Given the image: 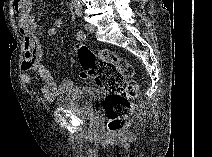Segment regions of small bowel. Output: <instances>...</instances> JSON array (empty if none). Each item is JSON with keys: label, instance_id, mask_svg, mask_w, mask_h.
<instances>
[{"label": "small bowel", "instance_id": "1", "mask_svg": "<svg viewBox=\"0 0 212 157\" xmlns=\"http://www.w3.org/2000/svg\"><path fill=\"white\" fill-rule=\"evenodd\" d=\"M32 0H14L12 3V15L18 22L20 34L23 37V58L21 61V80L26 85L32 83L30 72H34L43 82L42 92L47 101H54L57 97L70 91L72 81L64 78L56 83L51 72L42 64V48L36 35L38 24L32 14ZM63 26L59 18L53 20L47 29V36H54Z\"/></svg>", "mask_w": 212, "mask_h": 157}]
</instances>
